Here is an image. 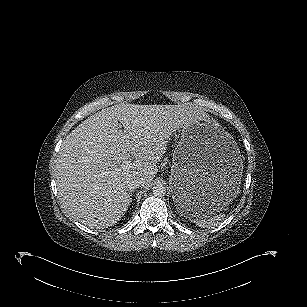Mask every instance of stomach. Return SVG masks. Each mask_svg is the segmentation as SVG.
<instances>
[{"label": "stomach", "instance_id": "1", "mask_svg": "<svg viewBox=\"0 0 307 307\" xmlns=\"http://www.w3.org/2000/svg\"><path fill=\"white\" fill-rule=\"evenodd\" d=\"M243 161L238 145L219 123L194 111L174 152L170 185L179 213H214L238 194Z\"/></svg>", "mask_w": 307, "mask_h": 307}]
</instances>
